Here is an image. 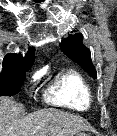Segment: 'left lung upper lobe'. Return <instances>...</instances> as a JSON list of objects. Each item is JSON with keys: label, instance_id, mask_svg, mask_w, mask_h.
Here are the masks:
<instances>
[{"label": "left lung upper lobe", "instance_id": "5c2ea615", "mask_svg": "<svg viewBox=\"0 0 117 136\" xmlns=\"http://www.w3.org/2000/svg\"><path fill=\"white\" fill-rule=\"evenodd\" d=\"M82 34L70 35L65 38L60 47L70 59L78 63L94 79H96V69L91 61L90 50L82 43Z\"/></svg>", "mask_w": 117, "mask_h": 136}]
</instances>
